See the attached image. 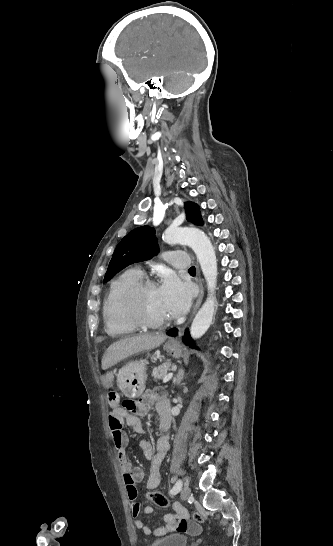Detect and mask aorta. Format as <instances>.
Here are the masks:
<instances>
[{
  "mask_svg": "<svg viewBox=\"0 0 333 546\" xmlns=\"http://www.w3.org/2000/svg\"><path fill=\"white\" fill-rule=\"evenodd\" d=\"M164 240L171 244L178 243L191 247L206 280L209 297L196 314L190 328L191 337L198 339L210 327L215 309L213 294L217 282V260L214 248L205 233L194 227L168 229L164 233Z\"/></svg>",
  "mask_w": 333,
  "mask_h": 546,
  "instance_id": "aorta-1",
  "label": "aorta"
}]
</instances>
